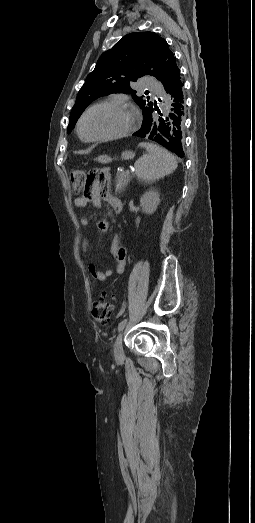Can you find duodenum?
Instances as JSON below:
<instances>
[{
  "instance_id": "410a0bca",
  "label": "duodenum",
  "mask_w": 255,
  "mask_h": 523,
  "mask_svg": "<svg viewBox=\"0 0 255 523\" xmlns=\"http://www.w3.org/2000/svg\"><path fill=\"white\" fill-rule=\"evenodd\" d=\"M113 208L116 212H120L122 210V204L119 200H115L113 202Z\"/></svg>"
}]
</instances>
